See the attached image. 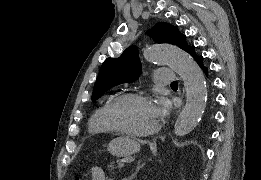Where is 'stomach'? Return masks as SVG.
I'll list each match as a JSON object with an SVG mask.
<instances>
[{
	"instance_id": "1",
	"label": "stomach",
	"mask_w": 261,
	"mask_h": 180,
	"mask_svg": "<svg viewBox=\"0 0 261 180\" xmlns=\"http://www.w3.org/2000/svg\"><path fill=\"white\" fill-rule=\"evenodd\" d=\"M107 151L116 157H127L138 153L140 144L129 137H117L108 144Z\"/></svg>"
}]
</instances>
